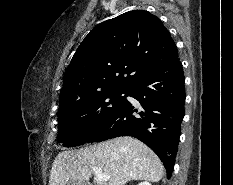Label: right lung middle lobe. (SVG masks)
Returning <instances> with one entry per match:
<instances>
[{
  "label": "right lung middle lobe",
  "mask_w": 233,
  "mask_h": 185,
  "mask_svg": "<svg viewBox=\"0 0 233 185\" xmlns=\"http://www.w3.org/2000/svg\"><path fill=\"white\" fill-rule=\"evenodd\" d=\"M127 89H108L76 100L59 109L58 141L64 147L82 145L125 102Z\"/></svg>",
  "instance_id": "right-lung-middle-lobe-1"
}]
</instances>
